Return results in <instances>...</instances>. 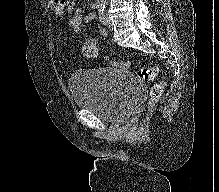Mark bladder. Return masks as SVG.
<instances>
[{"label":"bladder","instance_id":"1","mask_svg":"<svg viewBox=\"0 0 219 192\" xmlns=\"http://www.w3.org/2000/svg\"><path fill=\"white\" fill-rule=\"evenodd\" d=\"M70 87L76 107L108 122H121L134 114L144 95V88L129 72L112 66L77 70L71 74Z\"/></svg>","mask_w":219,"mask_h":192}]
</instances>
